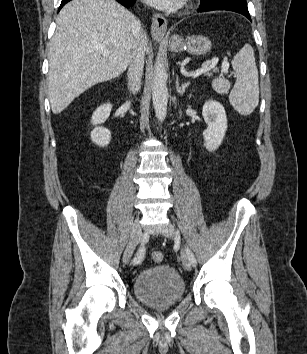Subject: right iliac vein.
<instances>
[{
    "instance_id": "right-iliac-vein-1",
    "label": "right iliac vein",
    "mask_w": 307,
    "mask_h": 354,
    "mask_svg": "<svg viewBox=\"0 0 307 354\" xmlns=\"http://www.w3.org/2000/svg\"><path fill=\"white\" fill-rule=\"evenodd\" d=\"M142 237V232H141V226L139 223V219L136 218L133 225H132V230H131V235L130 239L128 242V245L124 251L123 254V263L127 264L137 246V244L140 242Z\"/></svg>"
}]
</instances>
